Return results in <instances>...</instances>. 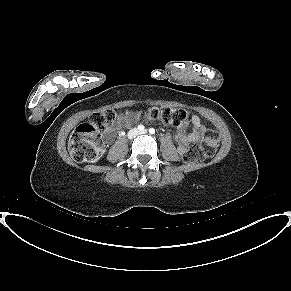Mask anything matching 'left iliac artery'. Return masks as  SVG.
<instances>
[{
    "instance_id": "1",
    "label": "left iliac artery",
    "mask_w": 291,
    "mask_h": 291,
    "mask_svg": "<svg viewBox=\"0 0 291 291\" xmlns=\"http://www.w3.org/2000/svg\"><path fill=\"white\" fill-rule=\"evenodd\" d=\"M149 133H150V134H154V133H155V129H154V128H150V129H149Z\"/></svg>"
}]
</instances>
